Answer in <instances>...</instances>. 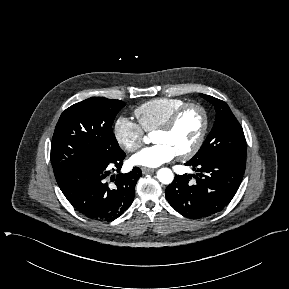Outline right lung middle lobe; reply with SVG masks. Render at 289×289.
<instances>
[{
    "label": "right lung middle lobe",
    "instance_id": "1",
    "mask_svg": "<svg viewBox=\"0 0 289 289\" xmlns=\"http://www.w3.org/2000/svg\"><path fill=\"white\" fill-rule=\"evenodd\" d=\"M124 106L120 100L93 97L61 114L51 142L57 181L80 166L111 161L122 153L111 126Z\"/></svg>",
    "mask_w": 289,
    "mask_h": 289
}]
</instances>
